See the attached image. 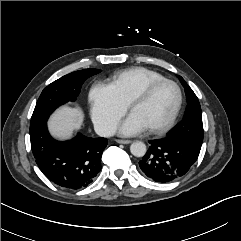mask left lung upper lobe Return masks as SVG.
<instances>
[{"label":"left lung upper lobe","mask_w":241,"mask_h":241,"mask_svg":"<svg viewBox=\"0 0 241 241\" xmlns=\"http://www.w3.org/2000/svg\"><path fill=\"white\" fill-rule=\"evenodd\" d=\"M179 79L186 92V112L183 121L168 133L167 137L182 141L191 150L199 154L203 141V124L200 103L197 96L184 79L181 76H179Z\"/></svg>","instance_id":"5c2ea615"}]
</instances>
